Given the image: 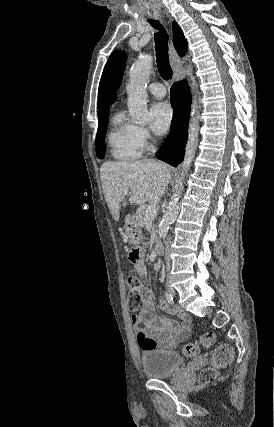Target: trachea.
<instances>
[{
	"instance_id": "3493384b",
	"label": "trachea",
	"mask_w": 274,
	"mask_h": 427,
	"mask_svg": "<svg viewBox=\"0 0 274 427\" xmlns=\"http://www.w3.org/2000/svg\"><path fill=\"white\" fill-rule=\"evenodd\" d=\"M149 23L158 30L155 33V50L157 57V68L164 80H170L172 77V68L169 64V55H168V34L158 21L149 20Z\"/></svg>"
}]
</instances>
